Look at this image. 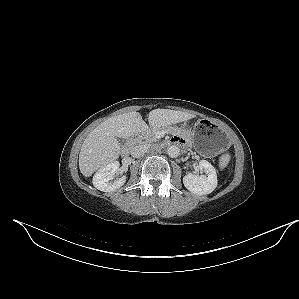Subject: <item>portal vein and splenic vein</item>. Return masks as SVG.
<instances>
[{"label":"portal vein and splenic vein","mask_w":299,"mask_h":299,"mask_svg":"<svg viewBox=\"0 0 299 299\" xmlns=\"http://www.w3.org/2000/svg\"><path fill=\"white\" fill-rule=\"evenodd\" d=\"M164 134V132H160V135H163Z\"/></svg>","instance_id":"obj_1"}]
</instances>
